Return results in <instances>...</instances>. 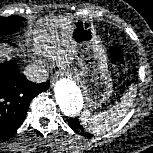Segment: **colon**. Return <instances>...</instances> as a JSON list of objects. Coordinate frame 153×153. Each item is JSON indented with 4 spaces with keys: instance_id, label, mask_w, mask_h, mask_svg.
I'll return each mask as SVG.
<instances>
[{
    "instance_id": "5ec220e1",
    "label": "colon",
    "mask_w": 153,
    "mask_h": 153,
    "mask_svg": "<svg viewBox=\"0 0 153 153\" xmlns=\"http://www.w3.org/2000/svg\"><path fill=\"white\" fill-rule=\"evenodd\" d=\"M109 57L112 65L115 67L116 70L121 72L126 70L127 60L119 47H111L109 51Z\"/></svg>"
}]
</instances>
